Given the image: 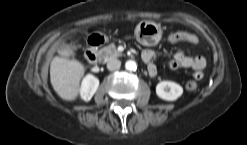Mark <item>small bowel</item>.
Here are the masks:
<instances>
[{"mask_svg":"<svg viewBox=\"0 0 247 145\" xmlns=\"http://www.w3.org/2000/svg\"><path fill=\"white\" fill-rule=\"evenodd\" d=\"M184 35V39L182 41H185L190 44H197L198 43V37L195 34L188 33V32H180ZM155 56V51L152 49H147L143 52V59L145 62L149 65H154L151 60ZM155 66V65H154ZM206 66V60L203 56H187L183 53H175L173 55V58L170 62V67L172 69H179V68H186L191 69L194 72V77L197 72L202 71ZM156 67V66H155ZM151 76H155L157 74V69L155 73H151L149 71Z\"/></svg>","mask_w":247,"mask_h":145,"instance_id":"small-bowel-1","label":"small bowel"}]
</instances>
